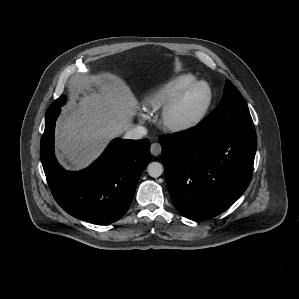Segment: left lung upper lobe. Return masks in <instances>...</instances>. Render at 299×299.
I'll use <instances>...</instances> for the list:
<instances>
[{
  "mask_svg": "<svg viewBox=\"0 0 299 299\" xmlns=\"http://www.w3.org/2000/svg\"><path fill=\"white\" fill-rule=\"evenodd\" d=\"M197 126L210 131L254 129L244 98L229 80L226 81L219 105Z\"/></svg>",
  "mask_w": 299,
  "mask_h": 299,
  "instance_id": "1",
  "label": "left lung upper lobe"
}]
</instances>
